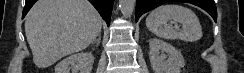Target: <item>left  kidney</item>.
<instances>
[{
  "instance_id": "left-kidney-1",
  "label": "left kidney",
  "mask_w": 244,
  "mask_h": 73,
  "mask_svg": "<svg viewBox=\"0 0 244 73\" xmlns=\"http://www.w3.org/2000/svg\"><path fill=\"white\" fill-rule=\"evenodd\" d=\"M149 57L155 73H180L185 66L183 55L160 39L149 40Z\"/></svg>"
}]
</instances>
